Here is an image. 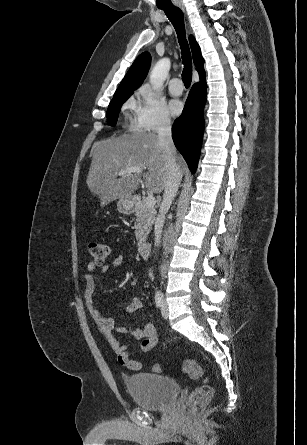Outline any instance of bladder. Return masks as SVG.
Here are the masks:
<instances>
[{"label": "bladder", "mask_w": 307, "mask_h": 445, "mask_svg": "<svg viewBox=\"0 0 307 445\" xmlns=\"http://www.w3.org/2000/svg\"><path fill=\"white\" fill-rule=\"evenodd\" d=\"M125 386L132 401L147 410L166 409L180 391V385L175 379L148 372L128 376Z\"/></svg>", "instance_id": "bladder-1"}]
</instances>
